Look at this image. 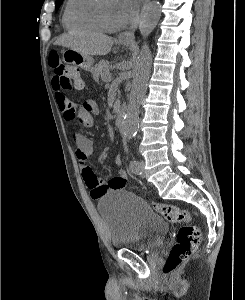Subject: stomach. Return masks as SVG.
I'll return each mask as SVG.
<instances>
[{
	"mask_svg": "<svg viewBox=\"0 0 245 300\" xmlns=\"http://www.w3.org/2000/svg\"><path fill=\"white\" fill-rule=\"evenodd\" d=\"M128 46L129 43H122ZM63 61L86 71H90L93 66V58L90 55H84L74 49L68 48L63 52Z\"/></svg>",
	"mask_w": 245,
	"mask_h": 300,
	"instance_id": "0dacf381",
	"label": "stomach"
}]
</instances>
